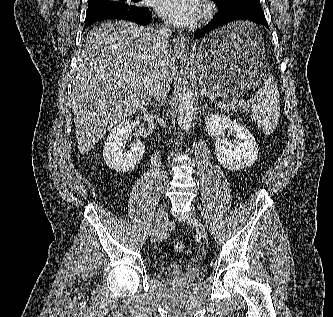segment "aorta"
<instances>
[{
	"instance_id": "762f6f07",
	"label": "aorta",
	"mask_w": 333,
	"mask_h": 317,
	"mask_svg": "<svg viewBox=\"0 0 333 317\" xmlns=\"http://www.w3.org/2000/svg\"><path fill=\"white\" fill-rule=\"evenodd\" d=\"M187 71L185 72V75ZM194 91L189 88V82L184 81V87L182 91L181 103L178 110V125L184 131H188L193 120L194 114Z\"/></svg>"
}]
</instances>
